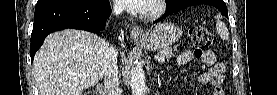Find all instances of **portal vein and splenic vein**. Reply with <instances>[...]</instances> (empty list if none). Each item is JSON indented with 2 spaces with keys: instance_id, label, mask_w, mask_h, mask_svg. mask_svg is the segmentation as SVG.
Wrapping results in <instances>:
<instances>
[{
  "instance_id": "obj_1",
  "label": "portal vein and splenic vein",
  "mask_w": 277,
  "mask_h": 95,
  "mask_svg": "<svg viewBox=\"0 0 277 95\" xmlns=\"http://www.w3.org/2000/svg\"><path fill=\"white\" fill-rule=\"evenodd\" d=\"M164 61H165V57H164V56H160V57L158 58V62H159V63H163ZM80 76L86 77V76H88V74H81Z\"/></svg>"
}]
</instances>
